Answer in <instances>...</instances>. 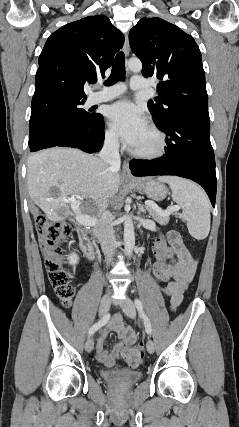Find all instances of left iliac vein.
<instances>
[{"label":"left iliac vein","instance_id":"1","mask_svg":"<svg viewBox=\"0 0 239 427\" xmlns=\"http://www.w3.org/2000/svg\"><path fill=\"white\" fill-rule=\"evenodd\" d=\"M122 310L124 311V313L131 319H133L136 315V309H135V305L132 302L131 299L127 298L123 303H122ZM146 348L147 351L149 353H153L155 350V344L151 339H148L147 343H146Z\"/></svg>","mask_w":239,"mask_h":427}]
</instances>
